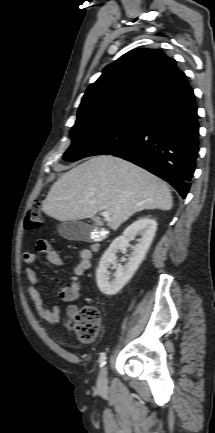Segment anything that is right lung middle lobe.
Instances as JSON below:
<instances>
[{"mask_svg":"<svg viewBox=\"0 0 215 433\" xmlns=\"http://www.w3.org/2000/svg\"><path fill=\"white\" fill-rule=\"evenodd\" d=\"M143 115H123L98 121L76 123L71 130L72 144L63 159H79L107 154L130 143L139 133Z\"/></svg>","mask_w":215,"mask_h":433,"instance_id":"1","label":"right lung middle lobe"}]
</instances>
